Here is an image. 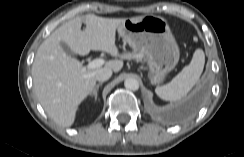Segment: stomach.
<instances>
[{
    "mask_svg": "<svg viewBox=\"0 0 244 157\" xmlns=\"http://www.w3.org/2000/svg\"><path fill=\"white\" fill-rule=\"evenodd\" d=\"M118 33L135 52L146 56L152 84L163 82L177 65L179 47L164 18L154 15L127 18Z\"/></svg>",
    "mask_w": 244,
    "mask_h": 157,
    "instance_id": "0dacf381",
    "label": "stomach"
}]
</instances>
